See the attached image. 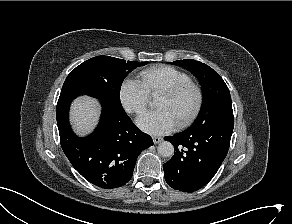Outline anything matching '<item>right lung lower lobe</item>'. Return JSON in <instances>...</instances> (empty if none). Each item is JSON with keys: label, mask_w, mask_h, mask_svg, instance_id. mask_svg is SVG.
Wrapping results in <instances>:
<instances>
[{"label": "right lung lower lobe", "mask_w": 292, "mask_h": 224, "mask_svg": "<svg viewBox=\"0 0 292 224\" xmlns=\"http://www.w3.org/2000/svg\"><path fill=\"white\" fill-rule=\"evenodd\" d=\"M80 95L65 93L59 97L56 117L61 147L87 181L105 189L121 187L131 179L137 157L153 145V140L134 125L123 108L103 101L95 131L85 138L76 136L68 113L70 103Z\"/></svg>", "instance_id": "obj_1"}]
</instances>
